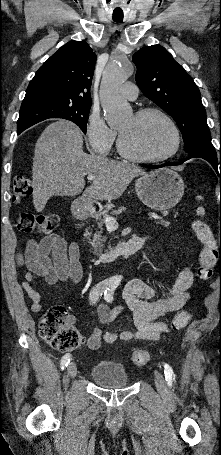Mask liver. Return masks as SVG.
<instances>
[{
  "label": "liver",
  "mask_w": 221,
  "mask_h": 455,
  "mask_svg": "<svg viewBox=\"0 0 221 455\" xmlns=\"http://www.w3.org/2000/svg\"><path fill=\"white\" fill-rule=\"evenodd\" d=\"M88 174L96 179L83 196L90 200H114L135 177L146 173L129 163L85 153L82 133L74 123L62 119L51 123L35 144L32 184L36 211L42 212L52 196L81 194Z\"/></svg>",
  "instance_id": "6515ba94"
}]
</instances>
